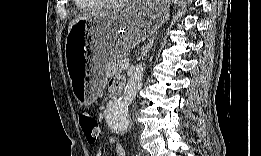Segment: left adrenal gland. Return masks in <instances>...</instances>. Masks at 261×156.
<instances>
[{
    "mask_svg": "<svg viewBox=\"0 0 261 156\" xmlns=\"http://www.w3.org/2000/svg\"><path fill=\"white\" fill-rule=\"evenodd\" d=\"M153 43H154V39H152L151 41H149V43L145 46V49H144V52H143V55H144V56L147 54V52H148L149 50L152 49Z\"/></svg>",
    "mask_w": 261,
    "mask_h": 156,
    "instance_id": "a2214340",
    "label": "left adrenal gland"
}]
</instances>
